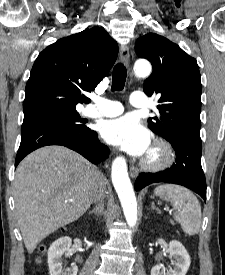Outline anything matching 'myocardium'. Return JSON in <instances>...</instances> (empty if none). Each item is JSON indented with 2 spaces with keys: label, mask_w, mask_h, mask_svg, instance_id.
Masks as SVG:
<instances>
[{
  "label": "myocardium",
  "mask_w": 225,
  "mask_h": 275,
  "mask_svg": "<svg viewBox=\"0 0 225 275\" xmlns=\"http://www.w3.org/2000/svg\"><path fill=\"white\" fill-rule=\"evenodd\" d=\"M174 157L175 153L171 145L162 139H156L142 160L141 167L150 172L161 171L173 163Z\"/></svg>",
  "instance_id": "f54148a6"
}]
</instances>
